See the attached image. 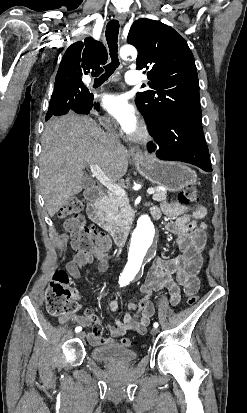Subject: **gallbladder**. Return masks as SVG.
<instances>
[{
    "label": "gallbladder",
    "mask_w": 247,
    "mask_h": 413,
    "mask_svg": "<svg viewBox=\"0 0 247 413\" xmlns=\"http://www.w3.org/2000/svg\"><path fill=\"white\" fill-rule=\"evenodd\" d=\"M82 182H83V186H85V188H86V186H90V176H84Z\"/></svg>",
    "instance_id": "bac80fb5"
}]
</instances>
